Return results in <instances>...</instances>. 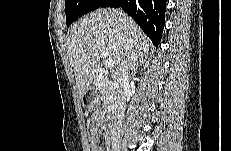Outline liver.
Listing matches in <instances>:
<instances>
[{
	"label": "liver",
	"mask_w": 231,
	"mask_h": 151,
	"mask_svg": "<svg viewBox=\"0 0 231 151\" xmlns=\"http://www.w3.org/2000/svg\"><path fill=\"white\" fill-rule=\"evenodd\" d=\"M151 46L138 24L117 9L100 8L80 19L67 37L78 96L83 97L90 88L102 51L108 52L118 74L123 62L133 72Z\"/></svg>",
	"instance_id": "obj_1"
}]
</instances>
